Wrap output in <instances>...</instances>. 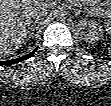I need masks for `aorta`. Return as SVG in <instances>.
Masks as SVG:
<instances>
[{
  "mask_svg": "<svg viewBox=\"0 0 111 106\" xmlns=\"http://www.w3.org/2000/svg\"><path fill=\"white\" fill-rule=\"evenodd\" d=\"M58 18H59L60 20L65 19V18H66V12H65V11H60V12L58 13Z\"/></svg>",
  "mask_w": 111,
  "mask_h": 106,
  "instance_id": "obj_1",
  "label": "aorta"
}]
</instances>
